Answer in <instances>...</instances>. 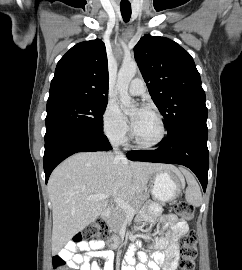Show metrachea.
<instances>
[{
    "label": "trachea",
    "instance_id": "obj_1",
    "mask_svg": "<svg viewBox=\"0 0 242 270\" xmlns=\"http://www.w3.org/2000/svg\"><path fill=\"white\" fill-rule=\"evenodd\" d=\"M120 10H121L123 20L125 22H128L130 17H131V6H129V5H127V6L121 5Z\"/></svg>",
    "mask_w": 242,
    "mask_h": 270
}]
</instances>
